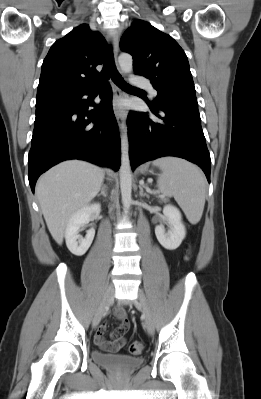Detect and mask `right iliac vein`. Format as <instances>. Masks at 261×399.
Returning a JSON list of instances; mask_svg holds the SVG:
<instances>
[{"mask_svg": "<svg viewBox=\"0 0 261 399\" xmlns=\"http://www.w3.org/2000/svg\"><path fill=\"white\" fill-rule=\"evenodd\" d=\"M114 292H115L114 286L112 284H110L103 296V299H102L95 315H94L93 322H92L93 327H96L100 323L107 307L110 305V303L113 300Z\"/></svg>", "mask_w": 261, "mask_h": 399, "instance_id": "63e3f726", "label": "right iliac vein"}]
</instances>
